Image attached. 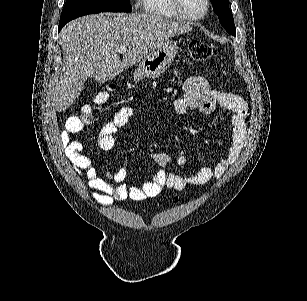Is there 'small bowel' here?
Wrapping results in <instances>:
<instances>
[{
	"instance_id": "1",
	"label": "small bowel",
	"mask_w": 307,
	"mask_h": 301,
	"mask_svg": "<svg viewBox=\"0 0 307 301\" xmlns=\"http://www.w3.org/2000/svg\"><path fill=\"white\" fill-rule=\"evenodd\" d=\"M183 89L184 96L176 100L173 107L174 111L180 115H184L189 109L208 113L216 106L230 112L231 143L225 150L222 160L214 167H203L198 172L188 173L185 176L158 170L153 174L151 180L140 185H128L124 182V169L112 173L104 167L98 170L94 166L92 160L84 154L83 143L73 139V136L82 129V123L79 118L70 117L61 132V145L73 167L85 173L88 186L92 189L91 196L95 202L111 206L115 201L128 198L141 201L155 197L163 188L183 190L187 186L204 185L211 179L221 178L238 159L247 137L248 108L244 99L235 94L211 89L207 80L201 76L188 78ZM135 113V109L131 106H123L118 109L112 118L102 126L97 139L98 146L102 150H111L115 145L116 133L128 123ZM152 157L160 166H166L171 161L168 155L162 153L153 154ZM185 162L184 153H179L176 163L184 167Z\"/></svg>"
}]
</instances>
